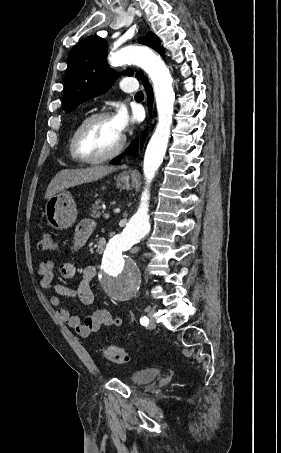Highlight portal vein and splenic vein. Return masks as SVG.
Instances as JSON below:
<instances>
[{
  "mask_svg": "<svg viewBox=\"0 0 281 453\" xmlns=\"http://www.w3.org/2000/svg\"><path fill=\"white\" fill-rule=\"evenodd\" d=\"M119 209H120L119 207H118V208H114V212H115V214H120V211H119Z\"/></svg>",
  "mask_w": 281,
  "mask_h": 453,
  "instance_id": "obj_1",
  "label": "portal vein and splenic vein"
}]
</instances>
